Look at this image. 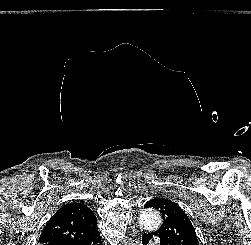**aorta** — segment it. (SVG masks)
<instances>
[{
    "mask_svg": "<svg viewBox=\"0 0 251 245\" xmlns=\"http://www.w3.org/2000/svg\"><path fill=\"white\" fill-rule=\"evenodd\" d=\"M161 223V215L153 209L144 210L140 215V224L147 230H156Z\"/></svg>",
    "mask_w": 251,
    "mask_h": 245,
    "instance_id": "762f6f07",
    "label": "aorta"
}]
</instances>
